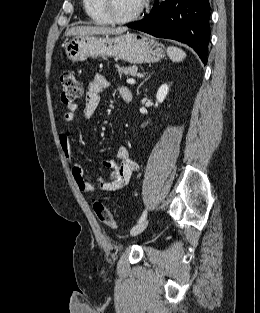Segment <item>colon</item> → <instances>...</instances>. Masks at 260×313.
I'll return each mask as SVG.
<instances>
[{
	"label": "colon",
	"mask_w": 260,
	"mask_h": 313,
	"mask_svg": "<svg viewBox=\"0 0 260 313\" xmlns=\"http://www.w3.org/2000/svg\"><path fill=\"white\" fill-rule=\"evenodd\" d=\"M61 99L66 105H74L82 97L83 87L75 74L65 71L60 76ZM93 209L98 219L111 229L118 228V222L111 211L101 202L95 201Z\"/></svg>",
	"instance_id": "1"
}]
</instances>
